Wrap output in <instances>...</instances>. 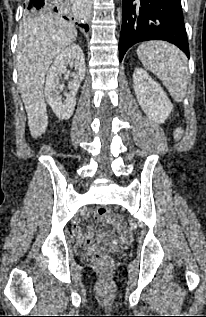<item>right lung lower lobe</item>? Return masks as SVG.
<instances>
[{"instance_id": "1", "label": "right lung lower lobe", "mask_w": 206, "mask_h": 317, "mask_svg": "<svg viewBox=\"0 0 206 317\" xmlns=\"http://www.w3.org/2000/svg\"><path fill=\"white\" fill-rule=\"evenodd\" d=\"M66 0H26L24 8L25 12H46V11H61L65 8ZM66 18V17H64ZM67 19V18H66ZM88 30L87 25H81Z\"/></svg>"}]
</instances>
